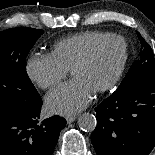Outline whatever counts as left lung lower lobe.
<instances>
[{
    "instance_id": "obj_1",
    "label": "left lung lower lobe",
    "mask_w": 155,
    "mask_h": 155,
    "mask_svg": "<svg viewBox=\"0 0 155 155\" xmlns=\"http://www.w3.org/2000/svg\"><path fill=\"white\" fill-rule=\"evenodd\" d=\"M98 155H148L155 145V75L117 89L95 108Z\"/></svg>"
}]
</instances>
